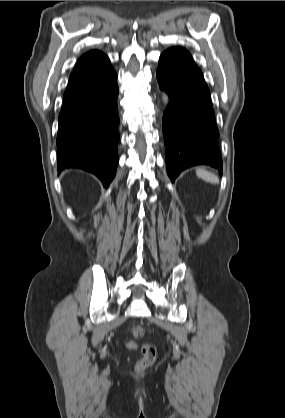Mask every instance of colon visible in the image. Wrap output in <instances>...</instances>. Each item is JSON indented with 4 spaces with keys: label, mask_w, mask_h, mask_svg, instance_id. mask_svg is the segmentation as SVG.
<instances>
[{
    "label": "colon",
    "mask_w": 285,
    "mask_h": 418,
    "mask_svg": "<svg viewBox=\"0 0 285 418\" xmlns=\"http://www.w3.org/2000/svg\"><path fill=\"white\" fill-rule=\"evenodd\" d=\"M130 332L135 338H141L144 334L143 329L139 326L131 327ZM141 352L142 356L137 361L136 368L139 371H144L154 363L156 359V350L154 346L145 344L142 346Z\"/></svg>",
    "instance_id": "5ec220e1"
}]
</instances>
